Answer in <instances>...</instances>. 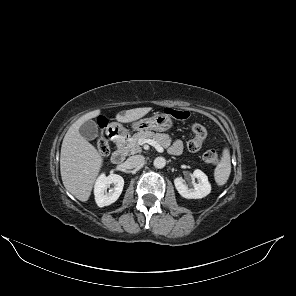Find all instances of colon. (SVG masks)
Instances as JSON below:
<instances>
[{
  "label": "colon",
  "mask_w": 296,
  "mask_h": 296,
  "mask_svg": "<svg viewBox=\"0 0 296 296\" xmlns=\"http://www.w3.org/2000/svg\"><path fill=\"white\" fill-rule=\"evenodd\" d=\"M165 113L178 120H186L189 117V112L185 110L166 108ZM99 125L101 128H104L106 123L105 121H101ZM190 128L193 133V138L188 141V148L191 151H198L203 146L207 137V131L202 125L197 123L192 124ZM96 149L100 155H106L109 152L108 140L103 134L97 139ZM203 160L206 163L216 165L219 162V156L214 150H208L203 154Z\"/></svg>",
  "instance_id": "5ec220e1"
}]
</instances>
